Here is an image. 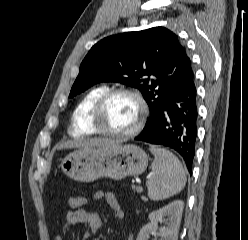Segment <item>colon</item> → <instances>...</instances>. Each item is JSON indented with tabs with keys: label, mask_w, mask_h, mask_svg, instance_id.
<instances>
[{
	"label": "colon",
	"mask_w": 248,
	"mask_h": 240,
	"mask_svg": "<svg viewBox=\"0 0 248 240\" xmlns=\"http://www.w3.org/2000/svg\"><path fill=\"white\" fill-rule=\"evenodd\" d=\"M87 202V199L84 196L76 195L72 196L68 200V208L70 211H76L82 209Z\"/></svg>",
	"instance_id": "5ec220e1"
}]
</instances>
